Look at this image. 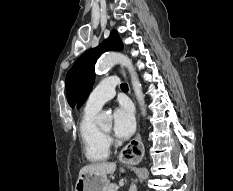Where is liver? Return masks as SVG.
I'll return each mask as SVG.
<instances>
[{
  "label": "liver",
  "instance_id": "liver-1",
  "mask_svg": "<svg viewBox=\"0 0 233 191\" xmlns=\"http://www.w3.org/2000/svg\"><path fill=\"white\" fill-rule=\"evenodd\" d=\"M115 170L116 164L114 162H99L84 166L80 170L79 176L83 174H96L100 176H106L107 174H113ZM120 171L124 172V169L120 168Z\"/></svg>",
  "mask_w": 233,
  "mask_h": 191
}]
</instances>
